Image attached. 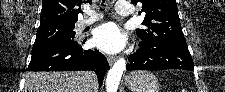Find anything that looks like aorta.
<instances>
[{"instance_id":"762f6f07","label":"aorta","mask_w":225,"mask_h":92,"mask_svg":"<svg viewBox=\"0 0 225 92\" xmlns=\"http://www.w3.org/2000/svg\"><path fill=\"white\" fill-rule=\"evenodd\" d=\"M126 68V61L124 58L118 59L113 67L109 70L106 78V91L117 92L123 71Z\"/></svg>"}]
</instances>
